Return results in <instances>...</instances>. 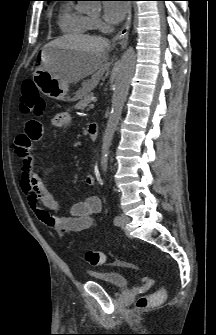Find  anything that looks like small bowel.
Instances as JSON below:
<instances>
[{
	"mask_svg": "<svg viewBox=\"0 0 216 335\" xmlns=\"http://www.w3.org/2000/svg\"><path fill=\"white\" fill-rule=\"evenodd\" d=\"M70 122L67 112H61L53 117L56 127H66ZM43 120H28L22 133L16 142V150L20 157V169L22 175L21 187L26 202L38 220L46 227L59 234L77 233L90 228L94 222V216L101 210V202L97 196H89L68 208V215L58 217L50 211H60L63 207L54 199L45 186V179L52 173L49 167L42 174H37L35 158L32 152L33 143H37L42 135ZM84 182L88 186L95 184L93 175H87Z\"/></svg>",
	"mask_w": 216,
	"mask_h": 335,
	"instance_id": "c3829d8e",
	"label": "small bowel"
}]
</instances>
